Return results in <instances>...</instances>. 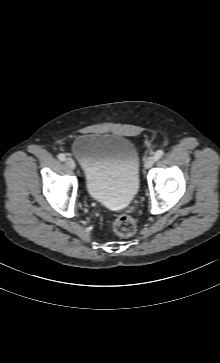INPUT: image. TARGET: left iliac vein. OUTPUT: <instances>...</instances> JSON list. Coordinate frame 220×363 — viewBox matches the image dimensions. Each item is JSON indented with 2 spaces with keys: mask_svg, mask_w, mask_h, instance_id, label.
Wrapping results in <instances>:
<instances>
[{
  "mask_svg": "<svg viewBox=\"0 0 220 363\" xmlns=\"http://www.w3.org/2000/svg\"><path fill=\"white\" fill-rule=\"evenodd\" d=\"M154 162H155L154 157L150 156V157H148V158L145 160V162H144V167H145L146 169H149V168H151V167L153 166Z\"/></svg>",
  "mask_w": 220,
  "mask_h": 363,
  "instance_id": "obj_1",
  "label": "left iliac vein"
}]
</instances>
